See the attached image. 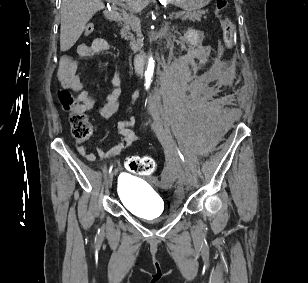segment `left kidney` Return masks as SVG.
Here are the masks:
<instances>
[{
	"label": "left kidney",
	"mask_w": 308,
	"mask_h": 283,
	"mask_svg": "<svg viewBox=\"0 0 308 283\" xmlns=\"http://www.w3.org/2000/svg\"><path fill=\"white\" fill-rule=\"evenodd\" d=\"M185 40L190 44L196 46L201 40L199 33L193 29H189L184 34Z\"/></svg>",
	"instance_id": "1"
}]
</instances>
